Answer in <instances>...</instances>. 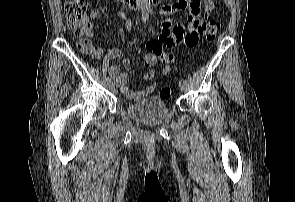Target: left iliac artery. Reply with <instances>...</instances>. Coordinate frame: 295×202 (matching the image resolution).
I'll return each instance as SVG.
<instances>
[{"label":"left iliac artery","instance_id":"obj_1","mask_svg":"<svg viewBox=\"0 0 295 202\" xmlns=\"http://www.w3.org/2000/svg\"><path fill=\"white\" fill-rule=\"evenodd\" d=\"M183 83L189 84V81L185 79Z\"/></svg>","mask_w":295,"mask_h":202}]
</instances>
